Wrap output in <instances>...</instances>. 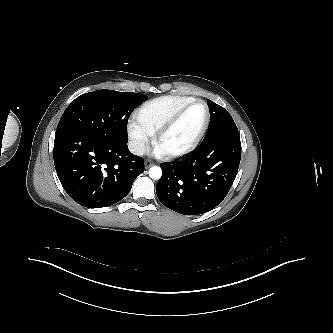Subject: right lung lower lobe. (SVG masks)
<instances>
[{"mask_svg":"<svg viewBox=\"0 0 333 333\" xmlns=\"http://www.w3.org/2000/svg\"><path fill=\"white\" fill-rule=\"evenodd\" d=\"M54 163L66 193L78 204L102 208L122 200L144 171V159L127 142H112L71 131L56 132Z\"/></svg>","mask_w":333,"mask_h":333,"instance_id":"1","label":"right lung lower lobe"}]
</instances>
